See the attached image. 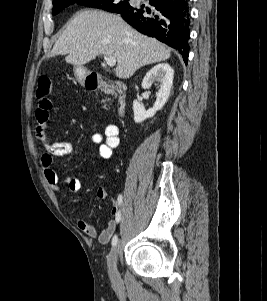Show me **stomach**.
I'll list each match as a JSON object with an SVG mask.
<instances>
[{"label":"stomach","instance_id":"1","mask_svg":"<svg viewBox=\"0 0 267 301\" xmlns=\"http://www.w3.org/2000/svg\"><path fill=\"white\" fill-rule=\"evenodd\" d=\"M74 74L80 83H84L85 78H86V71L84 68L75 67Z\"/></svg>","mask_w":267,"mask_h":301}]
</instances>
